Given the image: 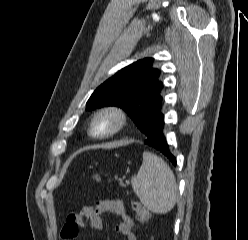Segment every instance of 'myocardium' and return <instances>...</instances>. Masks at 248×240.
Segmentation results:
<instances>
[{
	"mask_svg": "<svg viewBox=\"0 0 248 240\" xmlns=\"http://www.w3.org/2000/svg\"><path fill=\"white\" fill-rule=\"evenodd\" d=\"M104 114H109L112 115L115 120H116V124L115 126L104 133H96L95 132V122L97 120V118L101 115ZM127 114L126 112L119 106L116 105H105L102 106L101 108H99L93 115L92 119H91V123H90V133L92 136L97 137V138H107V137H111L113 135H115L116 133H118L120 130L123 129V127L126 125L127 123Z\"/></svg>",
	"mask_w": 248,
	"mask_h": 240,
	"instance_id": "obj_1",
	"label": "myocardium"
}]
</instances>
